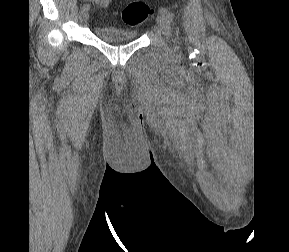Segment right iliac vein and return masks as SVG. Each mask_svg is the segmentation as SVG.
Here are the masks:
<instances>
[{"instance_id": "1", "label": "right iliac vein", "mask_w": 289, "mask_h": 252, "mask_svg": "<svg viewBox=\"0 0 289 252\" xmlns=\"http://www.w3.org/2000/svg\"><path fill=\"white\" fill-rule=\"evenodd\" d=\"M89 19V13L86 10H81L80 11V20L81 22L85 23Z\"/></svg>"}]
</instances>
